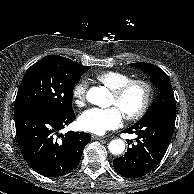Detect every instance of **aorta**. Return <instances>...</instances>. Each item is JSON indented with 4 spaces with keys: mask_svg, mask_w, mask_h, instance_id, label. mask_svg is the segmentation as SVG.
I'll return each instance as SVG.
<instances>
[{
    "mask_svg": "<svg viewBox=\"0 0 194 194\" xmlns=\"http://www.w3.org/2000/svg\"><path fill=\"white\" fill-rule=\"evenodd\" d=\"M109 91L105 87H92L87 93V100L95 105L103 106ZM109 151L114 155L122 154L125 150V142L121 139H114L108 145Z\"/></svg>",
    "mask_w": 194,
    "mask_h": 194,
    "instance_id": "obj_1",
    "label": "aorta"
}]
</instances>
